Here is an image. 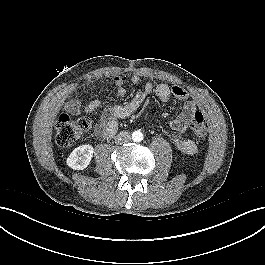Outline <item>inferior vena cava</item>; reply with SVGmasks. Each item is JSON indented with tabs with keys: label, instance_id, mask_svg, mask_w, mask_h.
Wrapping results in <instances>:
<instances>
[{
	"label": "inferior vena cava",
	"instance_id": "inferior-vena-cava-1",
	"mask_svg": "<svg viewBox=\"0 0 265 265\" xmlns=\"http://www.w3.org/2000/svg\"><path fill=\"white\" fill-rule=\"evenodd\" d=\"M130 140H131V136H130V133L128 131H122V132L118 133L117 136L115 137V143L116 144L127 143Z\"/></svg>",
	"mask_w": 265,
	"mask_h": 265
}]
</instances>
